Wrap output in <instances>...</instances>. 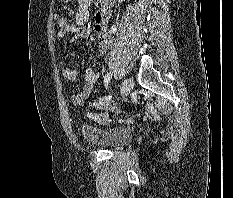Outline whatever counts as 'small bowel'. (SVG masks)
Masks as SVG:
<instances>
[{
	"instance_id": "small-bowel-1",
	"label": "small bowel",
	"mask_w": 233,
	"mask_h": 198,
	"mask_svg": "<svg viewBox=\"0 0 233 198\" xmlns=\"http://www.w3.org/2000/svg\"><path fill=\"white\" fill-rule=\"evenodd\" d=\"M92 0H78V9L75 14V23L66 24L62 33L57 34L58 38L70 36L71 42H78L86 35L85 24L89 19V6ZM111 12L110 7L103 5L94 17V30L97 34L99 53L103 55L107 52L111 44V34L108 28V21ZM63 77L68 81H75L78 77V70L66 66L62 70ZM99 73L88 69L84 76V85L79 93L73 94L70 97L74 105H82L90 96L96 83L99 80ZM96 119L104 120L102 116H94Z\"/></svg>"
}]
</instances>
